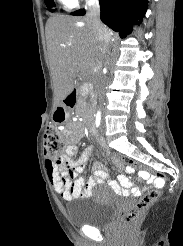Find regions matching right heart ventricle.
<instances>
[{"label":"right heart ventricle","instance_id":"obj_1","mask_svg":"<svg viewBox=\"0 0 183 246\" xmlns=\"http://www.w3.org/2000/svg\"><path fill=\"white\" fill-rule=\"evenodd\" d=\"M61 3H63V4H65V5H67L66 4V2L64 1V0H59Z\"/></svg>","mask_w":183,"mask_h":246}]
</instances>
